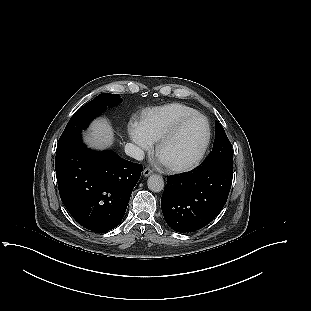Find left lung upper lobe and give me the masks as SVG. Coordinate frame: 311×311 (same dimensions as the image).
I'll use <instances>...</instances> for the list:
<instances>
[{
	"label": "left lung upper lobe",
	"mask_w": 311,
	"mask_h": 311,
	"mask_svg": "<svg viewBox=\"0 0 311 311\" xmlns=\"http://www.w3.org/2000/svg\"><path fill=\"white\" fill-rule=\"evenodd\" d=\"M215 140L213 149L203 165L220 164L227 167H232L233 151L231 143L222 127V125L215 122Z\"/></svg>",
	"instance_id": "left-lung-upper-lobe-1"
}]
</instances>
